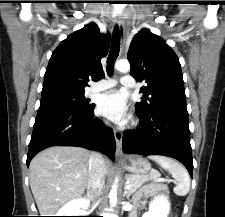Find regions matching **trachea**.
<instances>
[{
	"label": "trachea",
	"mask_w": 225,
	"mask_h": 217,
	"mask_svg": "<svg viewBox=\"0 0 225 217\" xmlns=\"http://www.w3.org/2000/svg\"><path fill=\"white\" fill-rule=\"evenodd\" d=\"M119 51H120V34L119 29L116 26L113 31L110 53L107 58V73L109 75L113 73L114 63L116 58L118 57Z\"/></svg>",
	"instance_id": "trachea-1"
}]
</instances>
